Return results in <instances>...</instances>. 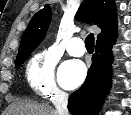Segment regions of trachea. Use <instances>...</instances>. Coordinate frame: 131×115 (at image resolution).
<instances>
[{"label":"trachea","instance_id":"1","mask_svg":"<svg viewBox=\"0 0 131 115\" xmlns=\"http://www.w3.org/2000/svg\"><path fill=\"white\" fill-rule=\"evenodd\" d=\"M85 46L87 49L94 50V34L93 33H90L85 38Z\"/></svg>","mask_w":131,"mask_h":115}]
</instances>
